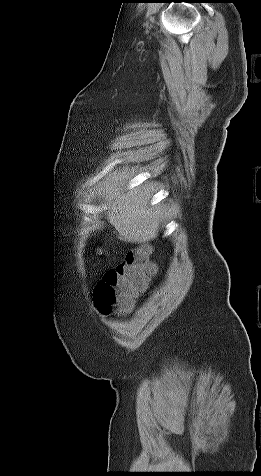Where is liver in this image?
Listing matches in <instances>:
<instances>
[{"label": "liver", "mask_w": 261, "mask_h": 476, "mask_svg": "<svg viewBox=\"0 0 261 476\" xmlns=\"http://www.w3.org/2000/svg\"><path fill=\"white\" fill-rule=\"evenodd\" d=\"M102 199L108 204L106 218L122 241L145 243L157 238L163 214L151 206L147 188H129L120 180L106 188Z\"/></svg>", "instance_id": "6515ba94"}]
</instances>
